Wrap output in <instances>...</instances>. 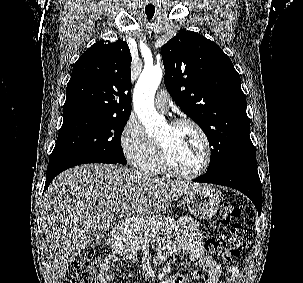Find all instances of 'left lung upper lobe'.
<instances>
[{
	"mask_svg": "<svg viewBox=\"0 0 303 283\" xmlns=\"http://www.w3.org/2000/svg\"><path fill=\"white\" fill-rule=\"evenodd\" d=\"M162 58L167 90L212 147L206 173L255 156L240 76L221 48L198 33L181 31L162 46Z\"/></svg>",
	"mask_w": 303,
	"mask_h": 283,
	"instance_id": "5c2ea615",
	"label": "left lung upper lobe"
}]
</instances>
